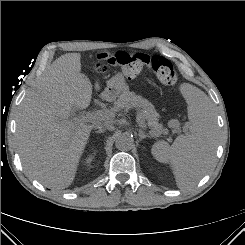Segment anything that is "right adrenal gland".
I'll return each instance as SVG.
<instances>
[{"mask_svg":"<svg viewBox=\"0 0 245 245\" xmlns=\"http://www.w3.org/2000/svg\"><path fill=\"white\" fill-rule=\"evenodd\" d=\"M105 130L104 129H99L97 131H95V133H103Z\"/></svg>","mask_w":245,"mask_h":245,"instance_id":"right-adrenal-gland-1","label":"right adrenal gland"}]
</instances>
